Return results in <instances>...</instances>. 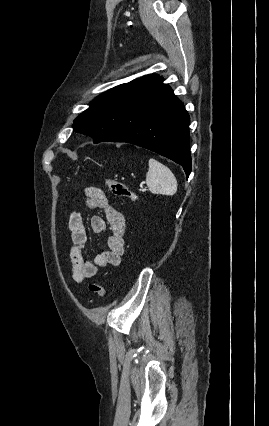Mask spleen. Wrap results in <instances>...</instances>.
Segmentation results:
<instances>
[{
    "label": "spleen",
    "instance_id": "obj_1",
    "mask_svg": "<svg viewBox=\"0 0 269 426\" xmlns=\"http://www.w3.org/2000/svg\"><path fill=\"white\" fill-rule=\"evenodd\" d=\"M146 183L153 194L172 196L177 192V180L171 170L157 161L149 159Z\"/></svg>",
    "mask_w": 269,
    "mask_h": 426
}]
</instances>
